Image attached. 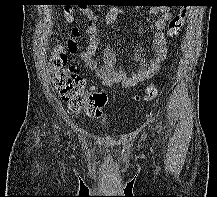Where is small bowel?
I'll use <instances>...</instances> for the list:
<instances>
[{"label": "small bowel", "mask_w": 217, "mask_h": 197, "mask_svg": "<svg viewBox=\"0 0 217 197\" xmlns=\"http://www.w3.org/2000/svg\"><path fill=\"white\" fill-rule=\"evenodd\" d=\"M81 12L93 22L98 20V16L87 7H81ZM150 12L152 14H161V17L154 23V28L156 31L152 40L154 55L149 61H145L139 56H136L139 65L130 75H127L122 69H116L117 56L115 52L108 46H106L103 50V62H97L96 54L100 46V38L94 25H91L86 29V34L88 37L87 46L80 57L86 66L97 75L104 86L113 87L114 85H120L123 88L135 87L144 80L153 76L159 70L167 55L166 41L163 31L167 22L171 19V11L169 5L165 4L153 6L150 9ZM63 15L68 23H72L74 21V11L72 7H65ZM122 15L123 11L121 9H111L105 17V22L108 25H111L115 23ZM77 37L78 31L74 30L72 32V37L68 42V47L71 54H76L77 52Z\"/></svg>", "instance_id": "c3829d8e"}]
</instances>
